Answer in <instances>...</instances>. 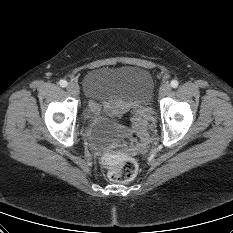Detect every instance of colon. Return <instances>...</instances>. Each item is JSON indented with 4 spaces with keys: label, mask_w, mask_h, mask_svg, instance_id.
Wrapping results in <instances>:
<instances>
[{
    "label": "colon",
    "mask_w": 233,
    "mask_h": 233,
    "mask_svg": "<svg viewBox=\"0 0 233 233\" xmlns=\"http://www.w3.org/2000/svg\"><path fill=\"white\" fill-rule=\"evenodd\" d=\"M149 113L147 110L138 111L133 119V126L139 135L138 146L142 147L148 143ZM101 164L107 169L111 180L125 182L133 179L137 173V163L130 157L116 153H107L101 157Z\"/></svg>",
    "instance_id": "5ec220e1"
}]
</instances>
